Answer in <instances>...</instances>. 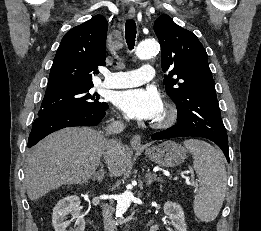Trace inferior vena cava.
I'll return each mask as SVG.
<instances>
[{
  "label": "inferior vena cava",
  "instance_id": "obj_1",
  "mask_svg": "<svg viewBox=\"0 0 261 231\" xmlns=\"http://www.w3.org/2000/svg\"><path fill=\"white\" fill-rule=\"evenodd\" d=\"M106 134H118L124 130V124L121 121H114L107 126ZM121 143L117 140H109L106 142L104 158L109 162L112 158L116 156ZM102 214L104 221V231H115L114 221L112 219V213L107 204L102 206Z\"/></svg>",
  "mask_w": 261,
  "mask_h": 231
}]
</instances>
